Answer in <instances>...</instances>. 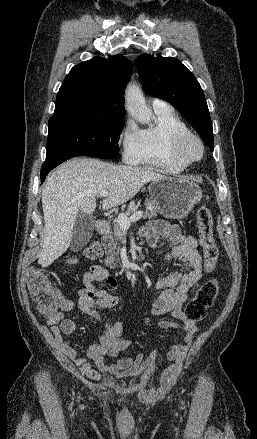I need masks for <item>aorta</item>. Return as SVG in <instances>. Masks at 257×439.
<instances>
[{"mask_svg":"<svg viewBox=\"0 0 257 439\" xmlns=\"http://www.w3.org/2000/svg\"><path fill=\"white\" fill-rule=\"evenodd\" d=\"M125 106L128 113L140 123H148L152 118V110L146 105L143 94L136 85L128 87Z\"/></svg>","mask_w":257,"mask_h":439,"instance_id":"1","label":"aorta"}]
</instances>
